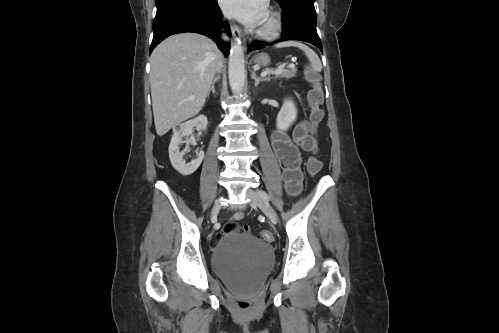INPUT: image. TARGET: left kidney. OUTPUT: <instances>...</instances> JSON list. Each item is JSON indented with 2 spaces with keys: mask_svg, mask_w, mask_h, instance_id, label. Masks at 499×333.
<instances>
[{
  "mask_svg": "<svg viewBox=\"0 0 499 333\" xmlns=\"http://www.w3.org/2000/svg\"><path fill=\"white\" fill-rule=\"evenodd\" d=\"M297 118V109L291 99L283 102V105L277 115L276 125L279 130H287Z\"/></svg>",
  "mask_w": 499,
  "mask_h": 333,
  "instance_id": "5707ae66",
  "label": "left kidney"
}]
</instances>
